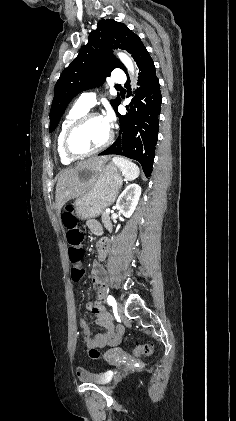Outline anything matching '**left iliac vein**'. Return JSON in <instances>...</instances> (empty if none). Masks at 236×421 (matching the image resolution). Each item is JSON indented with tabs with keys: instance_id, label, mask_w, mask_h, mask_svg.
<instances>
[{
	"instance_id": "1",
	"label": "left iliac vein",
	"mask_w": 236,
	"mask_h": 421,
	"mask_svg": "<svg viewBox=\"0 0 236 421\" xmlns=\"http://www.w3.org/2000/svg\"><path fill=\"white\" fill-rule=\"evenodd\" d=\"M116 307H117L118 314L120 315L122 313L123 306H122V304L120 302H118L116 304Z\"/></svg>"
}]
</instances>
